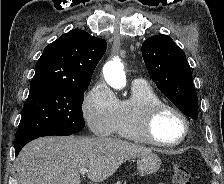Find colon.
<instances>
[{
	"instance_id": "5ec220e1",
	"label": "colon",
	"mask_w": 224,
	"mask_h": 184,
	"mask_svg": "<svg viewBox=\"0 0 224 184\" xmlns=\"http://www.w3.org/2000/svg\"><path fill=\"white\" fill-rule=\"evenodd\" d=\"M172 177L174 184H192L190 170L183 164L175 163L173 165Z\"/></svg>"
}]
</instances>
